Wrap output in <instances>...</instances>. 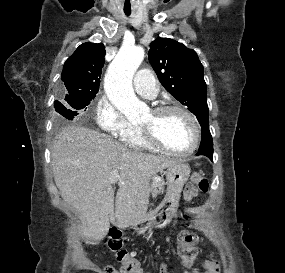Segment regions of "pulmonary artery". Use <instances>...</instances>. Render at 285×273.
<instances>
[{
  "mask_svg": "<svg viewBox=\"0 0 285 273\" xmlns=\"http://www.w3.org/2000/svg\"><path fill=\"white\" fill-rule=\"evenodd\" d=\"M133 85L135 90L146 98L153 99L157 96L159 91L158 83L148 69H140L134 76Z\"/></svg>",
  "mask_w": 285,
  "mask_h": 273,
  "instance_id": "pulmonary-artery-1",
  "label": "pulmonary artery"
}]
</instances>
